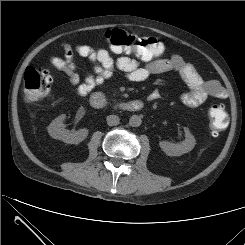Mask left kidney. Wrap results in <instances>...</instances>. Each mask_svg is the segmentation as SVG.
Masks as SVG:
<instances>
[{
	"label": "left kidney",
	"mask_w": 245,
	"mask_h": 245,
	"mask_svg": "<svg viewBox=\"0 0 245 245\" xmlns=\"http://www.w3.org/2000/svg\"><path fill=\"white\" fill-rule=\"evenodd\" d=\"M184 132H185L184 141L177 144L168 141H161L159 143L160 148L168 156H181L182 154L191 151L196 144V140L187 128H184Z\"/></svg>",
	"instance_id": "obj_1"
}]
</instances>
